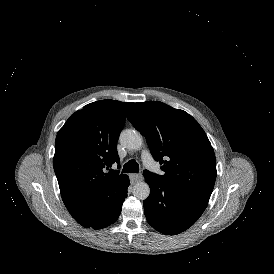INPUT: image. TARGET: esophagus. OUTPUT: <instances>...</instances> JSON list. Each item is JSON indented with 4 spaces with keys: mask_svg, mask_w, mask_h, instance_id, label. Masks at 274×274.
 <instances>
[{
    "mask_svg": "<svg viewBox=\"0 0 274 274\" xmlns=\"http://www.w3.org/2000/svg\"><path fill=\"white\" fill-rule=\"evenodd\" d=\"M129 178H130L131 184H135V183H138V182L143 180L142 174L132 173V174L129 175Z\"/></svg>",
    "mask_w": 274,
    "mask_h": 274,
    "instance_id": "esophagus-1",
    "label": "esophagus"
}]
</instances>
